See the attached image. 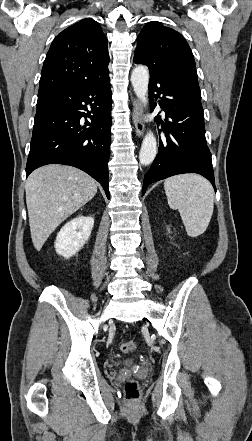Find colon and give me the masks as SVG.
<instances>
[{
    "mask_svg": "<svg viewBox=\"0 0 252 441\" xmlns=\"http://www.w3.org/2000/svg\"><path fill=\"white\" fill-rule=\"evenodd\" d=\"M120 349L123 353L129 354L137 349V344L134 341H127L121 345ZM139 395L140 390L137 382H135L134 380H129L124 387L125 399L129 402H133L138 399Z\"/></svg>",
    "mask_w": 252,
    "mask_h": 441,
    "instance_id": "colon-1",
    "label": "colon"
}]
</instances>
